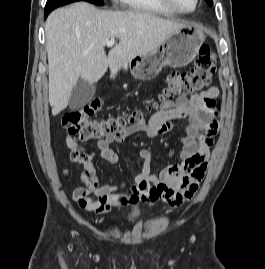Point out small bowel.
Listing matches in <instances>:
<instances>
[{
    "label": "small bowel",
    "instance_id": "small-bowel-1",
    "mask_svg": "<svg viewBox=\"0 0 265 269\" xmlns=\"http://www.w3.org/2000/svg\"><path fill=\"white\" fill-rule=\"evenodd\" d=\"M218 95L219 89L210 87L190 98L167 100L148 121L141 120L116 136L98 139L95 151L90 152L76 140H69L67 147L71 160L83 167L81 181L84 185L73 191V201L82 209L104 214L113 207L152 202L153 199L148 194L151 186L164 187L170 205H179L190 199L191 191L194 190L193 194L195 193L207 171L212 145L210 130L213 126L217 128L215 98ZM179 119L187 120L179 138L180 150L177 151L173 146L165 154L167 158L176 156L177 163L166 167L156 176L152 173V166L159 158L147 149H139L137 166L140 172L134 184L127 188L125 183L119 186L101 183L93 164L96 156L110 163H117L121 157L112 148L113 143H122L138 132L147 137L165 134L171 130L172 121Z\"/></svg>",
    "mask_w": 265,
    "mask_h": 269
}]
</instances>
